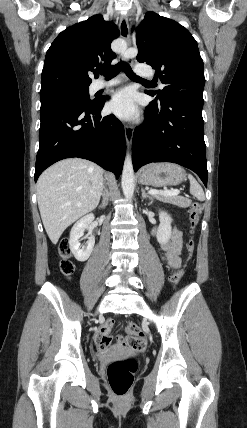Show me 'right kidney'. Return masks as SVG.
<instances>
[{
	"instance_id": "1",
	"label": "right kidney",
	"mask_w": 247,
	"mask_h": 428,
	"mask_svg": "<svg viewBox=\"0 0 247 428\" xmlns=\"http://www.w3.org/2000/svg\"><path fill=\"white\" fill-rule=\"evenodd\" d=\"M93 220V214H88L84 216L74 224L70 232L69 246L74 257L80 262L86 261L91 255L94 248L95 237L92 235L88 237L86 247L81 248V244L79 241L80 238L83 236L85 229L88 228V226Z\"/></svg>"
}]
</instances>
